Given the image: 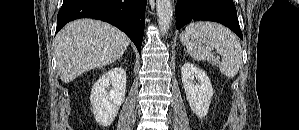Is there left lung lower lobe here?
Segmentation results:
<instances>
[{"mask_svg": "<svg viewBox=\"0 0 299 130\" xmlns=\"http://www.w3.org/2000/svg\"><path fill=\"white\" fill-rule=\"evenodd\" d=\"M176 28L192 20L221 23L243 39L233 0H177L175 7Z\"/></svg>", "mask_w": 299, "mask_h": 130, "instance_id": "obj_1", "label": "left lung lower lobe"}]
</instances>
